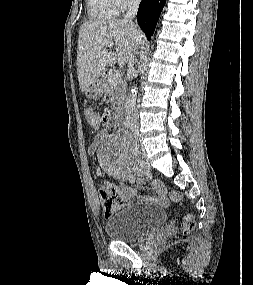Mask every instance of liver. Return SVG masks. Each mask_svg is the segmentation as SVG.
Returning <instances> with one entry per match:
<instances>
[{
	"instance_id": "liver-1",
	"label": "liver",
	"mask_w": 253,
	"mask_h": 285,
	"mask_svg": "<svg viewBox=\"0 0 253 285\" xmlns=\"http://www.w3.org/2000/svg\"><path fill=\"white\" fill-rule=\"evenodd\" d=\"M143 32L124 20H94L83 23L79 30L77 75L82 92L105 71L108 65L128 63L142 45ZM115 44L109 52L107 44Z\"/></svg>"
}]
</instances>
